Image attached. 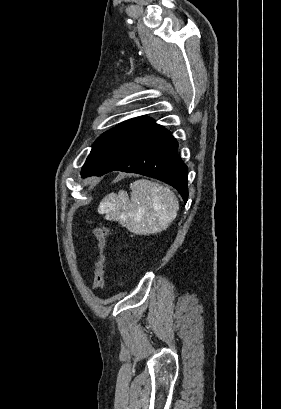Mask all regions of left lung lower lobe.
<instances>
[{
  "mask_svg": "<svg viewBox=\"0 0 281 409\" xmlns=\"http://www.w3.org/2000/svg\"><path fill=\"white\" fill-rule=\"evenodd\" d=\"M177 148L176 139L162 127L113 157L93 175L100 176L118 170L153 177L175 187L186 203L188 170Z\"/></svg>",
  "mask_w": 281,
  "mask_h": 409,
  "instance_id": "obj_1",
  "label": "left lung lower lobe"
}]
</instances>
